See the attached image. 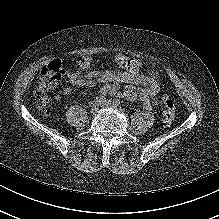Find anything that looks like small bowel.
Listing matches in <instances>:
<instances>
[{
    "label": "small bowel",
    "mask_w": 219,
    "mask_h": 219,
    "mask_svg": "<svg viewBox=\"0 0 219 219\" xmlns=\"http://www.w3.org/2000/svg\"><path fill=\"white\" fill-rule=\"evenodd\" d=\"M90 58L79 59V69L69 74L68 83L64 86L62 93L55 97L60 100L63 96L69 95L74 88L94 87L97 83L104 84L101 90L103 95L118 94L129 101L140 100L145 109L149 110L160 106L161 102L155 99L160 90V81L153 72L143 74L140 72L141 63L135 58L122 54L116 56L117 64L121 70H88ZM121 85H125L121 89Z\"/></svg>",
    "instance_id": "small-bowel-1"
}]
</instances>
